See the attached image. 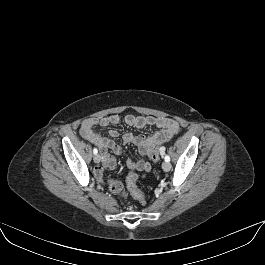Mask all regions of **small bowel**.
<instances>
[{
    "label": "small bowel",
    "instance_id": "1",
    "mask_svg": "<svg viewBox=\"0 0 265 265\" xmlns=\"http://www.w3.org/2000/svg\"><path fill=\"white\" fill-rule=\"evenodd\" d=\"M120 122V117L116 114L103 117H94L85 120L81 126V134L83 138L87 141L97 145L103 152L102 160L103 165L109 169L115 167V158L113 155L107 152L111 150L114 154H120L122 149L114 140L105 138L98 134L94 128L97 125L106 127L109 125H116ZM125 122L132 127L144 128V127H156L158 129L151 136H143L127 133L123 136V142L125 144H133L138 148V152L141 155H150L152 150L157 146H160L176 135L180 127L178 123L172 119L165 117L156 116H136L127 115L125 117ZM109 136L111 138H117L119 133L115 129L109 131ZM127 166L130 170L141 171L144 174L151 170V164L144 160H127ZM95 176L98 180L102 179L101 169L95 170Z\"/></svg>",
    "mask_w": 265,
    "mask_h": 265
}]
</instances>
